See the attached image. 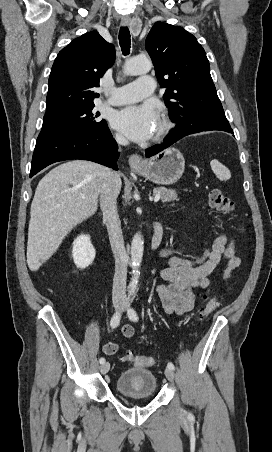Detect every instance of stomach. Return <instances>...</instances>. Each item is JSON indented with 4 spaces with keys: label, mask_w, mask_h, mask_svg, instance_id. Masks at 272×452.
<instances>
[{
    "label": "stomach",
    "mask_w": 272,
    "mask_h": 452,
    "mask_svg": "<svg viewBox=\"0 0 272 452\" xmlns=\"http://www.w3.org/2000/svg\"><path fill=\"white\" fill-rule=\"evenodd\" d=\"M184 168L185 160L181 152L176 148H168L134 170L153 183L170 185L181 178Z\"/></svg>",
    "instance_id": "0dacf381"
}]
</instances>
